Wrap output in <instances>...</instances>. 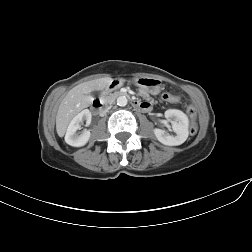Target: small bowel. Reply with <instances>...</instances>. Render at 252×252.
<instances>
[{
    "instance_id": "obj_1",
    "label": "small bowel",
    "mask_w": 252,
    "mask_h": 252,
    "mask_svg": "<svg viewBox=\"0 0 252 252\" xmlns=\"http://www.w3.org/2000/svg\"><path fill=\"white\" fill-rule=\"evenodd\" d=\"M151 107V104L147 101L142 102V109L143 111H148Z\"/></svg>"
}]
</instances>
